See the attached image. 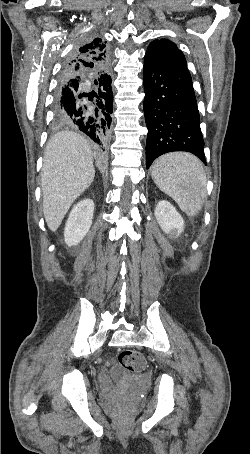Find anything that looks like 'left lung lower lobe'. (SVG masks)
Returning <instances> with one entry per match:
<instances>
[{
	"instance_id": "1",
	"label": "left lung lower lobe",
	"mask_w": 250,
	"mask_h": 454,
	"mask_svg": "<svg viewBox=\"0 0 250 454\" xmlns=\"http://www.w3.org/2000/svg\"><path fill=\"white\" fill-rule=\"evenodd\" d=\"M146 167L162 154L186 151L207 165L200 116L186 65L144 57Z\"/></svg>"
}]
</instances>
